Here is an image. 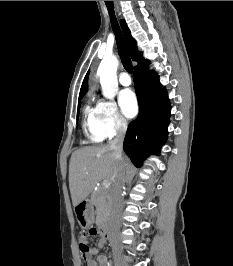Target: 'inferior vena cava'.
Wrapping results in <instances>:
<instances>
[{"instance_id":"1","label":"inferior vena cava","mask_w":233,"mask_h":266,"mask_svg":"<svg viewBox=\"0 0 233 266\" xmlns=\"http://www.w3.org/2000/svg\"><path fill=\"white\" fill-rule=\"evenodd\" d=\"M127 130V123L122 121L117 126V135L110 142V147L116 152V157L122 160V146L125 133ZM125 182V168L121 166V169L115 177L111 190H110V219H109V230L111 233H115L120 226V212L122 209V187Z\"/></svg>"}]
</instances>
